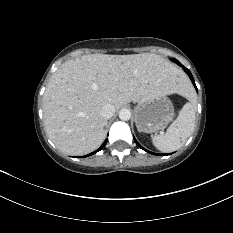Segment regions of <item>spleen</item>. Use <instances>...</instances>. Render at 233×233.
<instances>
[{"mask_svg":"<svg viewBox=\"0 0 233 233\" xmlns=\"http://www.w3.org/2000/svg\"><path fill=\"white\" fill-rule=\"evenodd\" d=\"M189 98L181 109L176 120L168 127L164 135H157L152 138L154 146L162 152H172L184 145L195 127V99L191 93L185 91Z\"/></svg>","mask_w":233,"mask_h":233,"instance_id":"obj_1","label":"spleen"}]
</instances>
